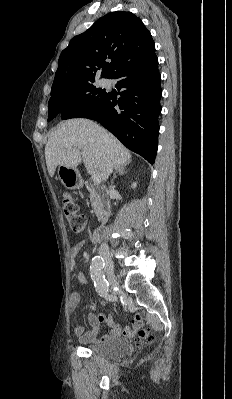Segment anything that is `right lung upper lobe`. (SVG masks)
Listing matches in <instances>:
<instances>
[{
    "label": "right lung upper lobe",
    "mask_w": 232,
    "mask_h": 399,
    "mask_svg": "<svg viewBox=\"0 0 232 399\" xmlns=\"http://www.w3.org/2000/svg\"><path fill=\"white\" fill-rule=\"evenodd\" d=\"M154 51L152 36L136 15L126 11L108 13L72 38L62 51L51 95L95 81L100 70L101 77L110 78L116 71Z\"/></svg>",
    "instance_id": "1"
}]
</instances>
